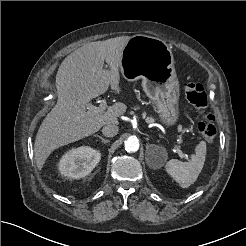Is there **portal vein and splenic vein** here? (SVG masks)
<instances>
[{"mask_svg":"<svg viewBox=\"0 0 246 246\" xmlns=\"http://www.w3.org/2000/svg\"><path fill=\"white\" fill-rule=\"evenodd\" d=\"M106 108H107V103L105 100H102L98 107L91 104L87 106L89 112L94 115L104 113ZM175 150L181 158H188V155L184 154L178 146H175Z\"/></svg>","mask_w":246,"mask_h":246,"instance_id":"1","label":"portal vein and splenic vein"}]
</instances>
